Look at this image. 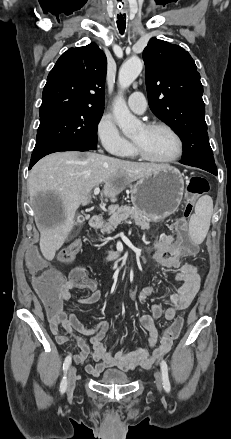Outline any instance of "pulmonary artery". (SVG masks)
<instances>
[{
	"label": "pulmonary artery",
	"instance_id": "obj_1",
	"mask_svg": "<svg viewBox=\"0 0 231 439\" xmlns=\"http://www.w3.org/2000/svg\"><path fill=\"white\" fill-rule=\"evenodd\" d=\"M129 108L137 114H143L147 108V101L141 92H133L128 98Z\"/></svg>",
	"mask_w": 231,
	"mask_h": 439
}]
</instances>
